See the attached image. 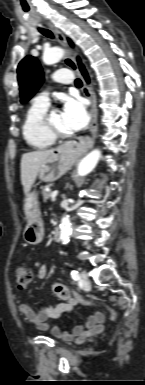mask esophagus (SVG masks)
<instances>
[{"label":"esophagus","instance_id":"esophagus-1","mask_svg":"<svg viewBox=\"0 0 145 385\" xmlns=\"http://www.w3.org/2000/svg\"><path fill=\"white\" fill-rule=\"evenodd\" d=\"M48 26L56 35L57 41L60 43V45L63 46L64 48H67L68 46L67 40L63 35V33L51 23H48ZM63 61L70 69H72L79 77H81V79L83 80V88H82L83 94L91 102V116H92L91 125H90L91 137H86L84 139H77L74 142L69 144V147L71 149L79 150V151L81 150L87 151L93 147L97 130H98V123H97L98 109H97L96 94L92 86L88 85L84 80V78L82 77L75 59L70 55H66L64 56Z\"/></svg>","mask_w":145,"mask_h":385}]
</instances>
